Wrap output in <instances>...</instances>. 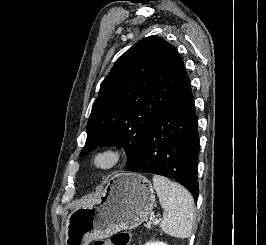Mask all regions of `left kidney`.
<instances>
[{
    "label": "left kidney",
    "instance_id": "5707ae66",
    "mask_svg": "<svg viewBox=\"0 0 266 245\" xmlns=\"http://www.w3.org/2000/svg\"><path fill=\"white\" fill-rule=\"evenodd\" d=\"M145 245H167V243H159V241H151V243H145Z\"/></svg>",
    "mask_w": 266,
    "mask_h": 245
}]
</instances>
